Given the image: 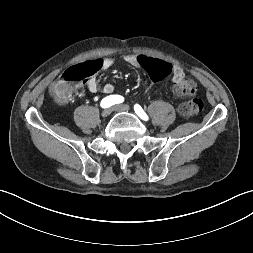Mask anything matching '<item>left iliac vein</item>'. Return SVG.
Wrapping results in <instances>:
<instances>
[{
  "label": "left iliac vein",
  "mask_w": 253,
  "mask_h": 253,
  "mask_svg": "<svg viewBox=\"0 0 253 253\" xmlns=\"http://www.w3.org/2000/svg\"><path fill=\"white\" fill-rule=\"evenodd\" d=\"M113 110L117 112H129L130 106L126 104L116 105L113 107Z\"/></svg>",
  "instance_id": "4c4485c4"
}]
</instances>
